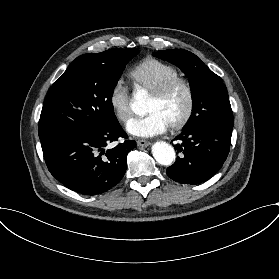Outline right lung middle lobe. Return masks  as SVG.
Segmentation results:
<instances>
[{
    "instance_id": "dd1d6c3e",
    "label": "right lung middle lobe",
    "mask_w": 279,
    "mask_h": 279,
    "mask_svg": "<svg viewBox=\"0 0 279 279\" xmlns=\"http://www.w3.org/2000/svg\"><path fill=\"white\" fill-rule=\"evenodd\" d=\"M138 49H110L76 58L51 86L39 120L42 150L74 134L118 122L112 95L125 65Z\"/></svg>"
}]
</instances>
